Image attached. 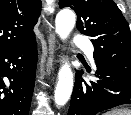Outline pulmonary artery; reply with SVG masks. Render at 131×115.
Wrapping results in <instances>:
<instances>
[{
	"mask_svg": "<svg viewBox=\"0 0 131 115\" xmlns=\"http://www.w3.org/2000/svg\"><path fill=\"white\" fill-rule=\"evenodd\" d=\"M73 44L81 49H83L88 58L93 61L94 48L88 38L82 35H77L73 41Z\"/></svg>",
	"mask_w": 131,
	"mask_h": 115,
	"instance_id": "e3ab8cb5",
	"label": "pulmonary artery"
}]
</instances>
